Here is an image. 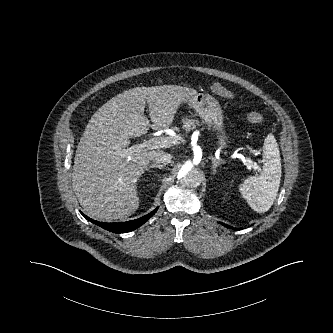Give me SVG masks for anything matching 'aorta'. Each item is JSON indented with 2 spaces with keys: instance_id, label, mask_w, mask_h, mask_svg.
<instances>
[{
  "instance_id": "762f6f07",
  "label": "aorta",
  "mask_w": 333,
  "mask_h": 333,
  "mask_svg": "<svg viewBox=\"0 0 333 333\" xmlns=\"http://www.w3.org/2000/svg\"><path fill=\"white\" fill-rule=\"evenodd\" d=\"M178 179L187 187H197L201 183V173L192 164L185 163L178 172Z\"/></svg>"
}]
</instances>
